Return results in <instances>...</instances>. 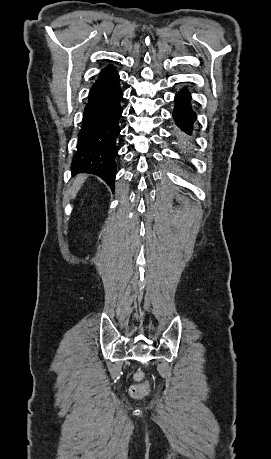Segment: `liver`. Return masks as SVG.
I'll use <instances>...</instances> for the list:
<instances>
[{
	"label": "liver",
	"mask_w": 271,
	"mask_h": 459,
	"mask_svg": "<svg viewBox=\"0 0 271 459\" xmlns=\"http://www.w3.org/2000/svg\"><path fill=\"white\" fill-rule=\"evenodd\" d=\"M87 176L86 174H80V176H77L74 184H73V188H71V198H76V194L77 192H79L82 184H84L85 180H86Z\"/></svg>",
	"instance_id": "1"
}]
</instances>
